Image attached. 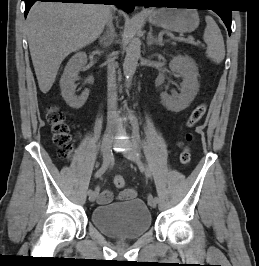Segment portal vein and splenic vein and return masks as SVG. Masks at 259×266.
<instances>
[{
    "label": "portal vein and splenic vein",
    "instance_id": "18ae733b",
    "mask_svg": "<svg viewBox=\"0 0 259 266\" xmlns=\"http://www.w3.org/2000/svg\"><path fill=\"white\" fill-rule=\"evenodd\" d=\"M171 38L175 39L177 41H180V42H187V43H191V44L196 45L195 41H193L192 39H186V38H181V37H173V36H171Z\"/></svg>",
    "mask_w": 259,
    "mask_h": 266
}]
</instances>
